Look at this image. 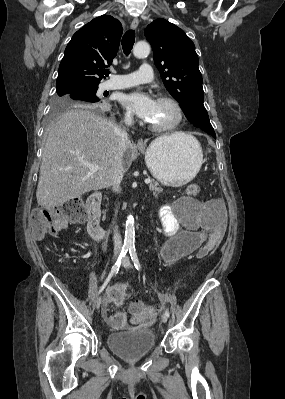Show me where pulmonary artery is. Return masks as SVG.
<instances>
[{"label":"pulmonary artery","instance_id":"e3ab8cb5","mask_svg":"<svg viewBox=\"0 0 285 399\" xmlns=\"http://www.w3.org/2000/svg\"><path fill=\"white\" fill-rule=\"evenodd\" d=\"M153 78L151 67L143 63L137 71L131 73H114L110 80L104 83V89L116 90L132 87L150 81Z\"/></svg>","mask_w":285,"mask_h":399}]
</instances>
